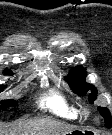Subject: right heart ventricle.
I'll return each instance as SVG.
<instances>
[{"instance_id":"obj_1","label":"right heart ventricle","mask_w":112,"mask_h":135,"mask_svg":"<svg viewBox=\"0 0 112 135\" xmlns=\"http://www.w3.org/2000/svg\"><path fill=\"white\" fill-rule=\"evenodd\" d=\"M39 107L53 116L67 121L74 122L82 118L81 107L55 89L49 90L40 97Z\"/></svg>"}]
</instances>
